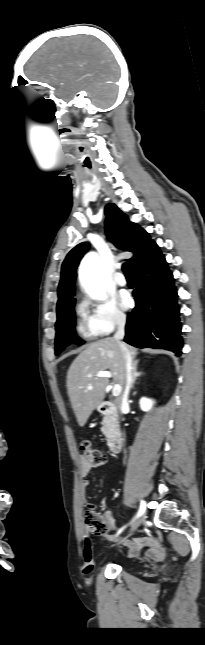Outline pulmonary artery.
Returning a JSON list of instances; mask_svg holds the SVG:
<instances>
[{"mask_svg":"<svg viewBox=\"0 0 205 645\" xmlns=\"http://www.w3.org/2000/svg\"><path fill=\"white\" fill-rule=\"evenodd\" d=\"M114 282L119 286H126L127 280L121 272H116L114 274Z\"/></svg>","mask_w":205,"mask_h":645,"instance_id":"e3ab8cb5","label":"pulmonary artery"}]
</instances>
